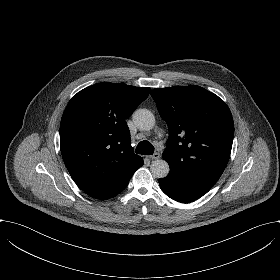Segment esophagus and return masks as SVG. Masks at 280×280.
<instances>
[{
    "mask_svg": "<svg viewBox=\"0 0 280 280\" xmlns=\"http://www.w3.org/2000/svg\"><path fill=\"white\" fill-rule=\"evenodd\" d=\"M150 159L157 160L161 158V154L159 152H155L153 155L149 156Z\"/></svg>",
    "mask_w": 280,
    "mask_h": 280,
    "instance_id": "1",
    "label": "esophagus"
}]
</instances>
